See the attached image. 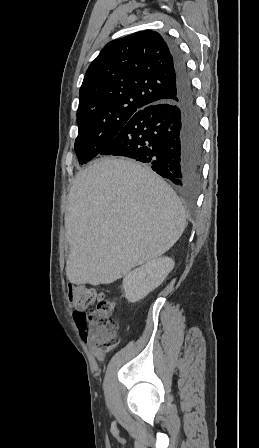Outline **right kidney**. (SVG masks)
<instances>
[{"label":"right kidney","instance_id":"obj_1","mask_svg":"<svg viewBox=\"0 0 259 448\" xmlns=\"http://www.w3.org/2000/svg\"><path fill=\"white\" fill-rule=\"evenodd\" d=\"M174 266L171 258H157V260H151L148 264H144L141 268H136L123 280L125 298L128 302L143 300L149 292L164 282Z\"/></svg>","mask_w":259,"mask_h":448}]
</instances>
